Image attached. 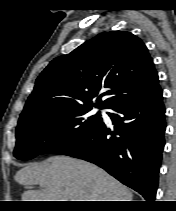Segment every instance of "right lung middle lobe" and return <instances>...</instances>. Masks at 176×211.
<instances>
[{
    "instance_id": "obj_1",
    "label": "right lung middle lobe",
    "mask_w": 176,
    "mask_h": 211,
    "mask_svg": "<svg viewBox=\"0 0 176 211\" xmlns=\"http://www.w3.org/2000/svg\"><path fill=\"white\" fill-rule=\"evenodd\" d=\"M91 110L86 106L51 109L20 118L14 156L28 160L76 144L102 123L100 112L91 115Z\"/></svg>"
}]
</instances>
